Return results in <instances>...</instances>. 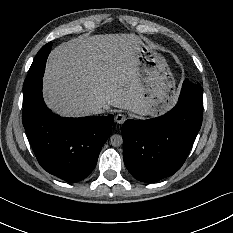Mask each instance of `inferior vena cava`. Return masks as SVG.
<instances>
[{
  "label": "inferior vena cava",
  "mask_w": 233,
  "mask_h": 233,
  "mask_svg": "<svg viewBox=\"0 0 233 233\" xmlns=\"http://www.w3.org/2000/svg\"><path fill=\"white\" fill-rule=\"evenodd\" d=\"M106 111V108L102 104H95L91 106L90 108V113L92 115H98V114H103Z\"/></svg>",
  "instance_id": "602c4592"
}]
</instances>
